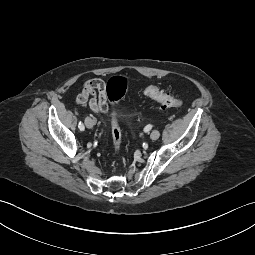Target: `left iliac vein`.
Segmentation results:
<instances>
[{"label":"left iliac vein","instance_id":"1","mask_svg":"<svg viewBox=\"0 0 255 255\" xmlns=\"http://www.w3.org/2000/svg\"><path fill=\"white\" fill-rule=\"evenodd\" d=\"M159 136H160L159 130H153V131L151 132V135H150V137H151L152 140L158 139Z\"/></svg>","mask_w":255,"mask_h":255}]
</instances>
